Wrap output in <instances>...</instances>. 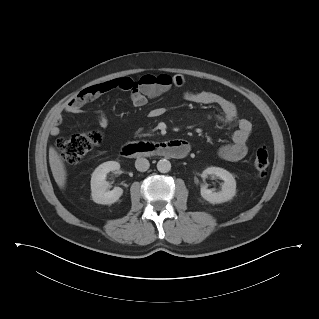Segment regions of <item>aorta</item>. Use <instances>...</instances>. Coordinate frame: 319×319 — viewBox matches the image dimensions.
<instances>
[{"label":"aorta","instance_id":"762f6f07","mask_svg":"<svg viewBox=\"0 0 319 319\" xmlns=\"http://www.w3.org/2000/svg\"><path fill=\"white\" fill-rule=\"evenodd\" d=\"M157 169L161 173H167L171 170V163L167 159H161L157 163Z\"/></svg>","mask_w":319,"mask_h":319}]
</instances>
